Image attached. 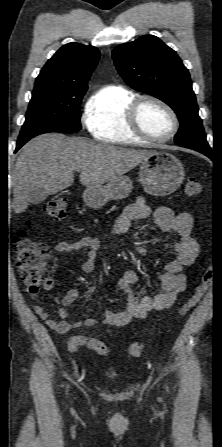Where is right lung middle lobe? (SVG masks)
Masks as SVG:
<instances>
[{
	"label": "right lung middle lobe",
	"instance_id": "1",
	"mask_svg": "<svg viewBox=\"0 0 222 447\" xmlns=\"http://www.w3.org/2000/svg\"><path fill=\"white\" fill-rule=\"evenodd\" d=\"M83 95H66L48 87L34 88L17 146L20 148L42 133L79 131Z\"/></svg>",
	"mask_w": 222,
	"mask_h": 447
}]
</instances>
